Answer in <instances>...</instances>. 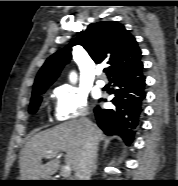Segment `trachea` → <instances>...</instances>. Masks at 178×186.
<instances>
[{
    "mask_svg": "<svg viewBox=\"0 0 178 186\" xmlns=\"http://www.w3.org/2000/svg\"><path fill=\"white\" fill-rule=\"evenodd\" d=\"M103 72H107V69H104Z\"/></svg>",
    "mask_w": 178,
    "mask_h": 186,
    "instance_id": "3493384b",
    "label": "trachea"
}]
</instances>
